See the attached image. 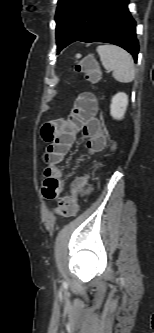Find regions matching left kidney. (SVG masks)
I'll list each match as a JSON object with an SVG mask.
<instances>
[{
  "label": "left kidney",
  "instance_id": "1",
  "mask_svg": "<svg viewBox=\"0 0 154 333\" xmlns=\"http://www.w3.org/2000/svg\"><path fill=\"white\" fill-rule=\"evenodd\" d=\"M128 105V96L119 92L113 96L110 105V114L114 119L121 120L124 117Z\"/></svg>",
  "mask_w": 154,
  "mask_h": 333
}]
</instances>
